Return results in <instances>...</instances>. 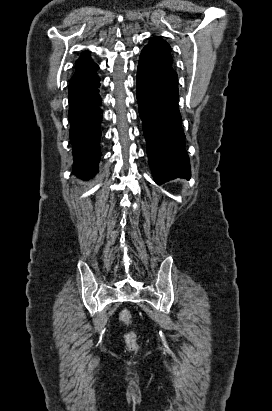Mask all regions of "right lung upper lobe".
<instances>
[{"label":"right lung upper lobe","instance_id":"right-lung-upper-lobe-1","mask_svg":"<svg viewBox=\"0 0 272 411\" xmlns=\"http://www.w3.org/2000/svg\"><path fill=\"white\" fill-rule=\"evenodd\" d=\"M98 69L88 54H82L76 61L75 73L70 80L68 91H75L87 86L97 78L96 71Z\"/></svg>","mask_w":272,"mask_h":411}]
</instances>
